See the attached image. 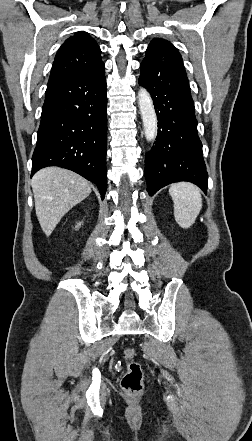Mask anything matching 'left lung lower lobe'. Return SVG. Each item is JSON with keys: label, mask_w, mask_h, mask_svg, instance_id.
Masks as SVG:
<instances>
[{"label": "left lung lower lobe", "mask_w": 252, "mask_h": 441, "mask_svg": "<svg viewBox=\"0 0 252 441\" xmlns=\"http://www.w3.org/2000/svg\"><path fill=\"white\" fill-rule=\"evenodd\" d=\"M140 69L139 84L150 93L158 118L156 142L145 158L149 195L179 181L192 182L206 193L208 173L181 55L163 40L148 47Z\"/></svg>", "instance_id": "1"}]
</instances>
